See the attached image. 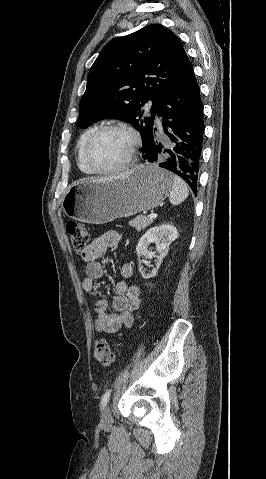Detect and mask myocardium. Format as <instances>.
I'll return each instance as SVG.
<instances>
[{
    "instance_id": "myocardium-1",
    "label": "myocardium",
    "mask_w": 266,
    "mask_h": 479,
    "mask_svg": "<svg viewBox=\"0 0 266 479\" xmlns=\"http://www.w3.org/2000/svg\"><path fill=\"white\" fill-rule=\"evenodd\" d=\"M111 130L121 131V132H124V133L128 134L129 137L131 138V145H130V148H129V151H128V154H127L126 158L121 163H119L118 165H116L112 168H109V169H98L90 161V157H89L90 149H91L94 141L96 140V138L98 136H100L101 134H103L106 131H111ZM139 144H140L139 136L136 133V131L134 129H132L131 127H129L127 125H123V124L103 125V126L98 127L88 137V139L85 143L84 149H83V160H84V163L87 166V168L93 174H97V175L112 174V173L124 170L128 166H130V164L133 161V158L135 156V152H136Z\"/></svg>"
}]
</instances>
